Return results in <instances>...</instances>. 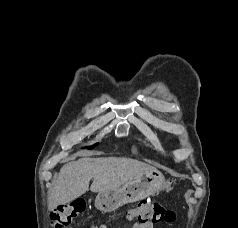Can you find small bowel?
Listing matches in <instances>:
<instances>
[{
	"instance_id": "c3829d8e",
	"label": "small bowel",
	"mask_w": 238,
	"mask_h": 228,
	"mask_svg": "<svg viewBox=\"0 0 238 228\" xmlns=\"http://www.w3.org/2000/svg\"><path fill=\"white\" fill-rule=\"evenodd\" d=\"M101 228H105V227H101ZM132 228H154V226L151 224H141L139 222H136L133 224Z\"/></svg>"
}]
</instances>
